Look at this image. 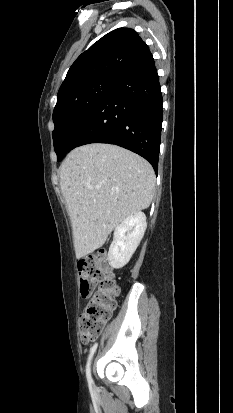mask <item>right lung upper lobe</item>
Returning a JSON list of instances; mask_svg holds the SVG:
<instances>
[{"label": "right lung upper lobe", "mask_w": 233, "mask_h": 413, "mask_svg": "<svg viewBox=\"0 0 233 413\" xmlns=\"http://www.w3.org/2000/svg\"><path fill=\"white\" fill-rule=\"evenodd\" d=\"M149 52L133 29L118 28L109 32L75 60L57 99L96 78L118 77Z\"/></svg>", "instance_id": "right-lung-upper-lobe-1"}]
</instances>
